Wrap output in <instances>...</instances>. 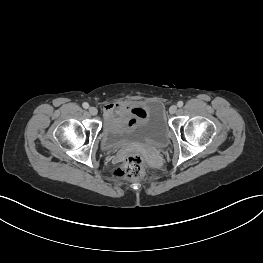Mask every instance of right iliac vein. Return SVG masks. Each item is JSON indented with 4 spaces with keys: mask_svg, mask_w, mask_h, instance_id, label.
I'll use <instances>...</instances> for the list:
<instances>
[{
    "mask_svg": "<svg viewBox=\"0 0 263 263\" xmlns=\"http://www.w3.org/2000/svg\"><path fill=\"white\" fill-rule=\"evenodd\" d=\"M89 113L91 115H96L98 113V110L96 107L91 106V107H89Z\"/></svg>",
    "mask_w": 263,
    "mask_h": 263,
    "instance_id": "right-iliac-vein-1",
    "label": "right iliac vein"
}]
</instances>
